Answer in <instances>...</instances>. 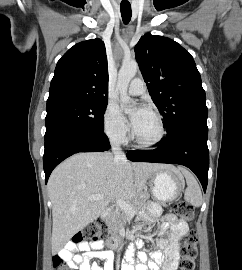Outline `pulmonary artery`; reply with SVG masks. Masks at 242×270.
Listing matches in <instances>:
<instances>
[{"label": "pulmonary artery", "instance_id": "1", "mask_svg": "<svg viewBox=\"0 0 242 270\" xmlns=\"http://www.w3.org/2000/svg\"><path fill=\"white\" fill-rule=\"evenodd\" d=\"M145 92V83L140 78H135L131 81L128 88V93L133 96L141 95Z\"/></svg>", "mask_w": 242, "mask_h": 270}]
</instances>
